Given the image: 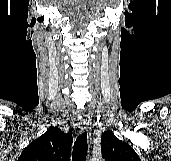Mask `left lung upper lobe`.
Segmentation results:
<instances>
[{
  "label": "left lung upper lobe",
  "mask_w": 171,
  "mask_h": 161,
  "mask_svg": "<svg viewBox=\"0 0 171 161\" xmlns=\"http://www.w3.org/2000/svg\"><path fill=\"white\" fill-rule=\"evenodd\" d=\"M101 152L105 161H141L133 148L119 140L112 131L102 134Z\"/></svg>",
  "instance_id": "obj_1"
}]
</instances>
